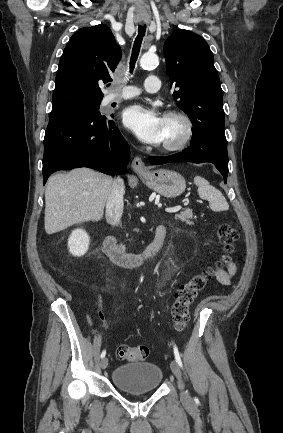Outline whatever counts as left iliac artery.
<instances>
[{"label":"left iliac artery","mask_w":283,"mask_h":433,"mask_svg":"<svg viewBox=\"0 0 283 433\" xmlns=\"http://www.w3.org/2000/svg\"><path fill=\"white\" fill-rule=\"evenodd\" d=\"M174 356H175V360H176V362H177L178 365L182 368V367H183V364H182V361H181V358H180V355H179V352H178V349H177L176 346H174Z\"/></svg>","instance_id":"left-iliac-artery-1"}]
</instances>
